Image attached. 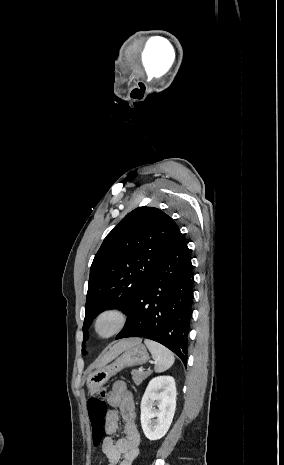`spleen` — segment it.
I'll return each mask as SVG.
<instances>
[{"mask_svg":"<svg viewBox=\"0 0 284 465\" xmlns=\"http://www.w3.org/2000/svg\"><path fill=\"white\" fill-rule=\"evenodd\" d=\"M144 343L155 361V373H164V371L172 367L175 359L169 349H166L163 345H159V343H155V341H149V339H145Z\"/></svg>","mask_w":284,"mask_h":465,"instance_id":"obj_1","label":"spleen"}]
</instances>
